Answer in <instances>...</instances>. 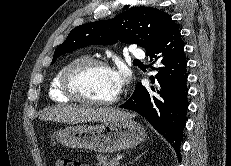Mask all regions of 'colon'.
<instances>
[{
    "label": "colon",
    "mask_w": 231,
    "mask_h": 166,
    "mask_svg": "<svg viewBox=\"0 0 231 166\" xmlns=\"http://www.w3.org/2000/svg\"><path fill=\"white\" fill-rule=\"evenodd\" d=\"M57 166H84L80 162L71 159H58Z\"/></svg>",
    "instance_id": "5ec220e1"
}]
</instances>
